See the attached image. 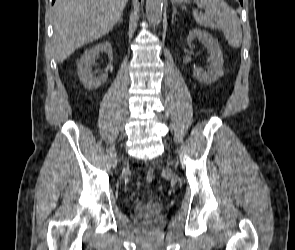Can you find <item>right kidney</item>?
I'll use <instances>...</instances> for the list:
<instances>
[{"mask_svg": "<svg viewBox=\"0 0 295 250\" xmlns=\"http://www.w3.org/2000/svg\"><path fill=\"white\" fill-rule=\"evenodd\" d=\"M100 52L107 53L112 60V46L109 42H103L91 49H87L77 65L80 81L87 89H96L107 79V74H101V76L96 77L92 72V64H94L96 56Z\"/></svg>", "mask_w": 295, "mask_h": 250, "instance_id": "obj_1", "label": "right kidney"}]
</instances>
